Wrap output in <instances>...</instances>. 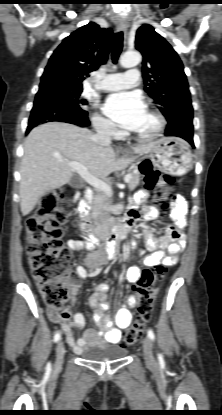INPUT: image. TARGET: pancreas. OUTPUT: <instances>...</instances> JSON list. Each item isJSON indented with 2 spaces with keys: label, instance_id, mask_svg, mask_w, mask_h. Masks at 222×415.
<instances>
[{
  "label": "pancreas",
  "instance_id": "obj_1",
  "mask_svg": "<svg viewBox=\"0 0 222 415\" xmlns=\"http://www.w3.org/2000/svg\"><path fill=\"white\" fill-rule=\"evenodd\" d=\"M140 183V173L139 171L131 173V179L129 181L128 187L132 191L134 190Z\"/></svg>",
  "mask_w": 222,
  "mask_h": 415
}]
</instances>
